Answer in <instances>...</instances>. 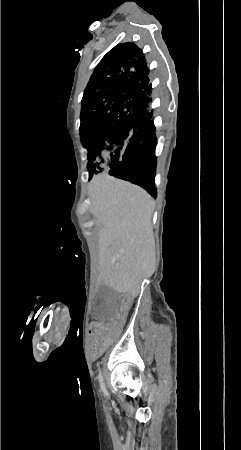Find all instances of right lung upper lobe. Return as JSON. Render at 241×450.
<instances>
[{"instance_id": "cb5924a9", "label": "right lung upper lobe", "mask_w": 241, "mask_h": 450, "mask_svg": "<svg viewBox=\"0 0 241 450\" xmlns=\"http://www.w3.org/2000/svg\"><path fill=\"white\" fill-rule=\"evenodd\" d=\"M148 75L142 50L128 42L115 46L102 58L89 83L111 85L120 97L145 101Z\"/></svg>"}]
</instances>
